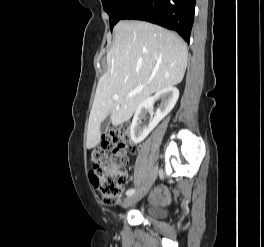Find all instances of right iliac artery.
<instances>
[{"instance_id":"right-iliac-artery-1","label":"right iliac artery","mask_w":264,"mask_h":247,"mask_svg":"<svg viewBox=\"0 0 264 247\" xmlns=\"http://www.w3.org/2000/svg\"><path fill=\"white\" fill-rule=\"evenodd\" d=\"M135 193V189H129L127 192H126V195L127 196H130V195H132V194H134Z\"/></svg>"}]
</instances>
